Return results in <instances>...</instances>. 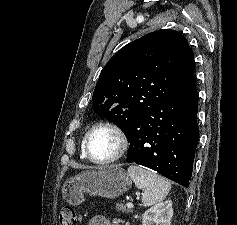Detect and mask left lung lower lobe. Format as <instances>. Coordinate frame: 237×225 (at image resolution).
<instances>
[{
    "mask_svg": "<svg viewBox=\"0 0 237 225\" xmlns=\"http://www.w3.org/2000/svg\"><path fill=\"white\" fill-rule=\"evenodd\" d=\"M195 85L157 103L125 133L127 161L188 187L199 140Z\"/></svg>",
    "mask_w": 237,
    "mask_h": 225,
    "instance_id": "obj_1",
    "label": "left lung lower lobe"
}]
</instances>
